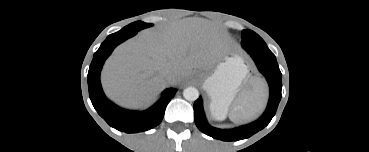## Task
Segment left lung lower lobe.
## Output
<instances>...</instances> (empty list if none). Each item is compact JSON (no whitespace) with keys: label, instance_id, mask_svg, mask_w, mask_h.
<instances>
[{"label":"left lung lower lobe","instance_id":"1","mask_svg":"<svg viewBox=\"0 0 369 152\" xmlns=\"http://www.w3.org/2000/svg\"><path fill=\"white\" fill-rule=\"evenodd\" d=\"M255 61L259 71L266 77L270 87V98L264 114L255 122L235 129H219L207 123L202 106V99L199 98L194 103V118L196 126L200 131L215 139L223 141H238L246 139L266 127L277 110L281 99L282 74L277 64L276 58L250 54Z\"/></svg>","mask_w":369,"mask_h":152}]
</instances>
